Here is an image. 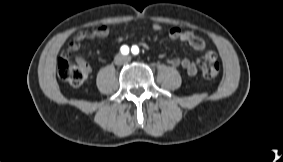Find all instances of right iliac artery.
Wrapping results in <instances>:
<instances>
[{"label": "right iliac artery", "mask_w": 283, "mask_h": 162, "mask_svg": "<svg viewBox=\"0 0 283 162\" xmlns=\"http://www.w3.org/2000/svg\"><path fill=\"white\" fill-rule=\"evenodd\" d=\"M120 50H121V53L124 55L129 53V47L126 45H123Z\"/></svg>", "instance_id": "1"}]
</instances>
